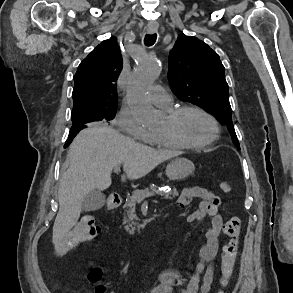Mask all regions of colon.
<instances>
[{"mask_svg":"<svg viewBox=\"0 0 293 293\" xmlns=\"http://www.w3.org/2000/svg\"><path fill=\"white\" fill-rule=\"evenodd\" d=\"M221 187L224 191H229L226 183H222ZM241 222L238 218H231L227 220L223 226V232L228 240L223 247L221 255V284H227L229 277L233 272V268L238 254V239L240 234ZM100 233V228L96 219L92 215L82 216L71 231L63 238L56 246L55 250L58 254L63 255L74 250L78 245L95 239ZM89 279L97 283L95 292L105 293V287L100 283L103 272L101 268L93 266L88 272ZM217 293H223L221 290Z\"/></svg>","mask_w":293,"mask_h":293,"instance_id":"obj_1","label":"colon"}]
</instances>
